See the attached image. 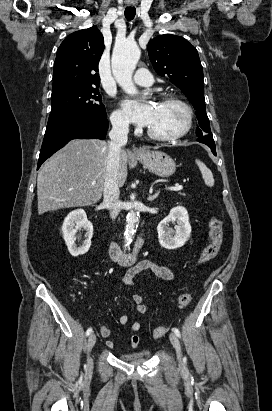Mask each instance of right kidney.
<instances>
[{
	"mask_svg": "<svg viewBox=\"0 0 272 411\" xmlns=\"http://www.w3.org/2000/svg\"><path fill=\"white\" fill-rule=\"evenodd\" d=\"M81 230L86 231V239L82 245L77 246L75 242L79 236L76 233ZM62 233L68 251L72 256L77 257L88 252L93 236V225L88 221L83 209L74 210L67 215L62 225Z\"/></svg>",
	"mask_w": 272,
	"mask_h": 411,
	"instance_id": "1",
	"label": "right kidney"
}]
</instances>
